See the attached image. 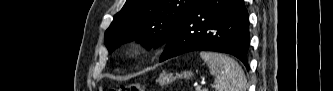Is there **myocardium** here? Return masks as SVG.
Masks as SVG:
<instances>
[{"label": "myocardium", "mask_w": 333, "mask_h": 91, "mask_svg": "<svg viewBox=\"0 0 333 91\" xmlns=\"http://www.w3.org/2000/svg\"><path fill=\"white\" fill-rule=\"evenodd\" d=\"M127 51L133 57H140L147 52V44L143 39H134L130 42Z\"/></svg>", "instance_id": "1"}]
</instances>
